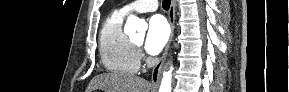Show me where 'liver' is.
<instances>
[{"instance_id":"obj_1","label":"liver","mask_w":289,"mask_h":92,"mask_svg":"<svg viewBox=\"0 0 289 92\" xmlns=\"http://www.w3.org/2000/svg\"><path fill=\"white\" fill-rule=\"evenodd\" d=\"M104 92H149L151 84L140 77L120 73H105L95 76L86 92L94 90Z\"/></svg>"}]
</instances>
